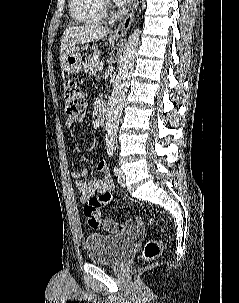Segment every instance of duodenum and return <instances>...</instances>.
Instances as JSON below:
<instances>
[{"label": "duodenum", "instance_id": "obj_1", "mask_svg": "<svg viewBox=\"0 0 239 303\" xmlns=\"http://www.w3.org/2000/svg\"><path fill=\"white\" fill-rule=\"evenodd\" d=\"M98 123L99 125H104L106 121V111L105 110H100L98 113Z\"/></svg>", "mask_w": 239, "mask_h": 303}]
</instances>
